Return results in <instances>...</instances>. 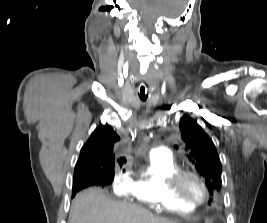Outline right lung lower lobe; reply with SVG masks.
<instances>
[{"label":"right lung lower lobe","mask_w":267,"mask_h":223,"mask_svg":"<svg viewBox=\"0 0 267 223\" xmlns=\"http://www.w3.org/2000/svg\"><path fill=\"white\" fill-rule=\"evenodd\" d=\"M113 179H108L104 175H80L74 177L73 181V196L74 194L88 186L100 185L105 186L112 182Z\"/></svg>","instance_id":"right-lung-lower-lobe-1"}]
</instances>
